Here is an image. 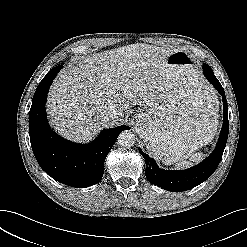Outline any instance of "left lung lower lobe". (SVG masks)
Listing matches in <instances>:
<instances>
[{
  "instance_id": "left-lung-lower-lobe-1",
  "label": "left lung lower lobe",
  "mask_w": 247,
  "mask_h": 247,
  "mask_svg": "<svg viewBox=\"0 0 247 247\" xmlns=\"http://www.w3.org/2000/svg\"><path fill=\"white\" fill-rule=\"evenodd\" d=\"M204 75L208 81L218 90L222 95L224 120L218 143L214 151L200 164L186 170H162L160 169L153 158L139 149L140 154L145 159L146 163V177L149 182L172 192H182L189 190L209 178L218 167L222 158L225 145L228 138L229 121H228V106L224 90L215 77L212 69L203 64Z\"/></svg>"
}]
</instances>
